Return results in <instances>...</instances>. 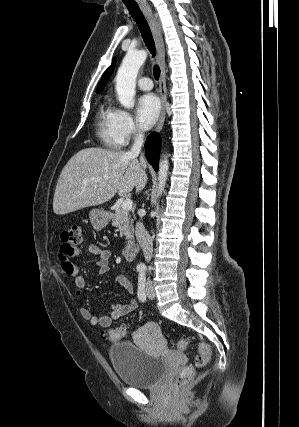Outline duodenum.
Wrapping results in <instances>:
<instances>
[{"label":"duodenum","mask_w":299,"mask_h":427,"mask_svg":"<svg viewBox=\"0 0 299 427\" xmlns=\"http://www.w3.org/2000/svg\"><path fill=\"white\" fill-rule=\"evenodd\" d=\"M137 252V242L135 240L128 242L122 250V255L126 259H133Z\"/></svg>","instance_id":"duodenum-1"}]
</instances>
